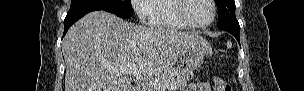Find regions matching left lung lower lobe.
<instances>
[{
    "label": "left lung lower lobe",
    "instance_id": "left-lung-lower-lobe-1",
    "mask_svg": "<svg viewBox=\"0 0 304 91\" xmlns=\"http://www.w3.org/2000/svg\"><path fill=\"white\" fill-rule=\"evenodd\" d=\"M226 31H228L229 33H231L237 39V41L240 43V37H239L240 29L239 30L228 29Z\"/></svg>",
    "mask_w": 304,
    "mask_h": 91
}]
</instances>
